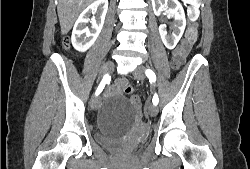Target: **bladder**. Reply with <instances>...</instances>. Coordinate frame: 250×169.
<instances>
[{
    "mask_svg": "<svg viewBox=\"0 0 250 169\" xmlns=\"http://www.w3.org/2000/svg\"><path fill=\"white\" fill-rule=\"evenodd\" d=\"M95 141L99 147L111 151H133L140 147V145H126L125 142H120V139H112V134L95 133Z\"/></svg>",
    "mask_w": 250,
    "mask_h": 169,
    "instance_id": "obj_1",
    "label": "bladder"
}]
</instances>
